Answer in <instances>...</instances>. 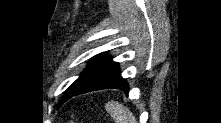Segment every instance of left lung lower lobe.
<instances>
[{"instance_id":"0a47b994","label":"left lung lower lobe","mask_w":221,"mask_h":123,"mask_svg":"<svg viewBox=\"0 0 221 123\" xmlns=\"http://www.w3.org/2000/svg\"><path fill=\"white\" fill-rule=\"evenodd\" d=\"M107 88H117L121 89L124 92H128L129 90L128 83L125 79L121 77L119 64L116 62H112L110 65L98 72L94 77L83 84L78 90L74 91L69 96V98L85 92Z\"/></svg>"}]
</instances>
